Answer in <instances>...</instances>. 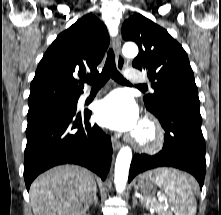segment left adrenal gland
I'll return each instance as SVG.
<instances>
[{"label":"left adrenal gland","mask_w":221,"mask_h":215,"mask_svg":"<svg viewBox=\"0 0 221 215\" xmlns=\"http://www.w3.org/2000/svg\"><path fill=\"white\" fill-rule=\"evenodd\" d=\"M137 204V200L133 197V206Z\"/></svg>","instance_id":"a2214340"}]
</instances>
